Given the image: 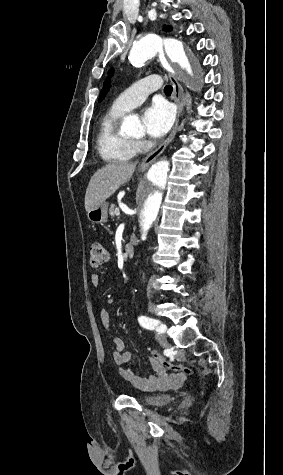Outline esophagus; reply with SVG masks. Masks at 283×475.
Masks as SVG:
<instances>
[{
	"mask_svg": "<svg viewBox=\"0 0 283 475\" xmlns=\"http://www.w3.org/2000/svg\"><path fill=\"white\" fill-rule=\"evenodd\" d=\"M169 79L172 83L173 86V95H174V101L177 103L178 110H177V119L175 122V125L172 129V132L170 135L166 138V140L158 147L156 148L153 152L149 153L146 158L141 163L140 168L145 169L149 167L160 155L163 153L167 145L171 142V140L174 138L178 123H179V117L183 111L184 105H185V94L183 91V88L181 87L180 83L178 82L177 78L169 73Z\"/></svg>",
	"mask_w": 283,
	"mask_h": 475,
	"instance_id": "1",
	"label": "esophagus"
}]
</instances>
